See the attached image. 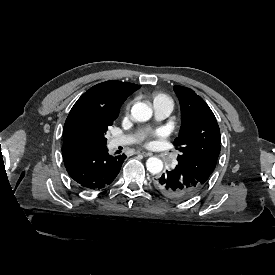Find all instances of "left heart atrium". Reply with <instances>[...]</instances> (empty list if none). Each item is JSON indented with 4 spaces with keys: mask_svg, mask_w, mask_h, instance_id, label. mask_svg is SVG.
I'll return each instance as SVG.
<instances>
[{
    "mask_svg": "<svg viewBox=\"0 0 275 275\" xmlns=\"http://www.w3.org/2000/svg\"><path fill=\"white\" fill-rule=\"evenodd\" d=\"M167 135L168 132L164 128H145L138 132L137 137L145 146H152L157 139H163Z\"/></svg>",
    "mask_w": 275,
    "mask_h": 275,
    "instance_id": "1",
    "label": "left heart atrium"
}]
</instances>
